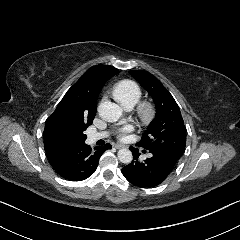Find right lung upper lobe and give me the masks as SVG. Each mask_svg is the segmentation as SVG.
<instances>
[{"label":"right lung upper lobe","instance_id":"1","mask_svg":"<svg viewBox=\"0 0 240 240\" xmlns=\"http://www.w3.org/2000/svg\"><path fill=\"white\" fill-rule=\"evenodd\" d=\"M119 70L108 65H96L87 70L67 91L48 118L44 129L46 154L64 149H77L85 140L70 133L78 123L91 125L97 110V98L104 83Z\"/></svg>","mask_w":240,"mask_h":240}]
</instances>
